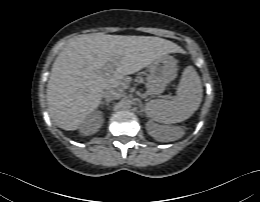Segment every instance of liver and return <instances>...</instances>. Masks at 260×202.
<instances>
[{"label":"liver","mask_w":260,"mask_h":202,"mask_svg":"<svg viewBox=\"0 0 260 202\" xmlns=\"http://www.w3.org/2000/svg\"><path fill=\"white\" fill-rule=\"evenodd\" d=\"M172 41L152 36L93 33L72 39L57 56L47 84L50 116L65 130L81 127L101 103L107 89L120 87L125 75L134 74L159 57L179 52ZM115 62L116 71L102 73Z\"/></svg>","instance_id":"6515ba94"}]
</instances>
